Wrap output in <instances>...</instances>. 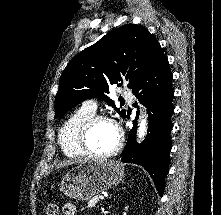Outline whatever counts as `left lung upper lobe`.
Wrapping results in <instances>:
<instances>
[{
    "label": "left lung upper lobe",
    "instance_id": "obj_1",
    "mask_svg": "<svg viewBox=\"0 0 221 215\" xmlns=\"http://www.w3.org/2000/svg\"><path fill=\"white\" fill-rule=\"evenodd\" d=\"M166 56L159 42L141 26L127 24L78 53L63 71L55 98L56 117L85 99L106 100L124 118L126 112L107 97L109 86L132 89Z\"/></svg>",
    "mask_w": 221,
    "mask_h": 215
}]
</instances>
